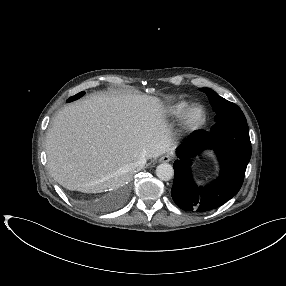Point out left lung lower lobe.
I'll return each mask as SVG.
<instances>
[{
    "instance_id": "1",
    "label": "left lung lower lobe",
    "mask_w": 286,
    "mask_h": 286,
    "mask_svg": "<svg viewBox=\"0 0 286 286\" xmlns=\"http://www.w3.org/2000/svg\"><path fill=\"white\" fill-rule=\"evenodd\" d=\"M211 148L218 155L221 173L206 187H198L191 176L190 157ZM179 159L174 163L171 195L185 211H209L220 207L240 190L248 162L251 142L247 121L216 122L211 131L198 130L177 148Z\"/></svg>"
}]
</instances>
